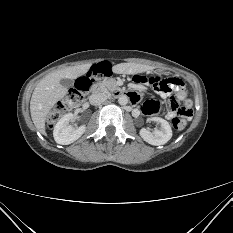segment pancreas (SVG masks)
<instances>
[{
    "label": "pancreas",
    "mask_w": 233,
    "mask_h": 233,
    "mask_svg": "<svg viewBox=\"0 0 233 233\" xmlns=\"http://www.w3.org/2000/svg\"><path fill=\"white\" fill-rule=\"evenodd\" d=\"M100 88L103 91H114L117 89V82L115 79H106L100 83Z\"/></svg>",
    "instance_id": "obj_1"
}]
</instances>
